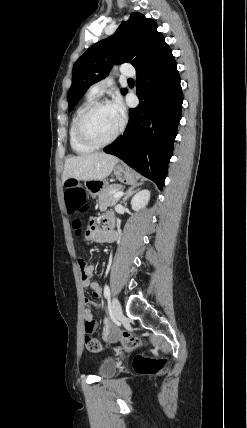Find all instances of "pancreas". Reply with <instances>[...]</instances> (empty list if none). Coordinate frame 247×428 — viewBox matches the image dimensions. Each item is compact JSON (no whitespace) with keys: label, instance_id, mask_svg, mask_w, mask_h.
<instances>
[{"label":"pancreas","instance_id":"obj_1","mask_svg":"<svg viewBox=\"0 0 247 428\" xmlns=\"http://www.w3.org/2000/svg\"><path fill=\"white\" fill-rule=\"evenodd\" d=\"M122 185L120 184H112L104 187L98 197V206L101 211H104L108 206H113L118 202L119 198H114V193L121 189Z\"/></svg>","mask_w":247,"mask_h":428}]
</instances>
